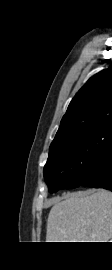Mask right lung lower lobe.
<instances>
[{"label":"right lung lower lobe","mask_w":112,"mask_h":270,"mask_svg":"<svg viewBox=\"0 0 112 270\" xmlns=\"http://www.w3.org/2000/svg\"><path fill=\"white\" fill-rule=\"evenodd\" d=\"M81 185L112 191V144L91 163Z\"/></svg>","instance_id":"98d812e1"}]
</instances>
